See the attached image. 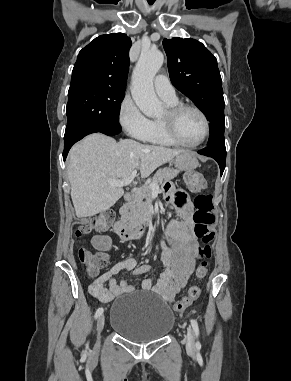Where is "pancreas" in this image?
<instances>
[{
  "instance_id": "1",
  "label": "pancreas",
  "mask_w": 291,
  "mask_h": 381,
  "mask_svg": "<svg viewBox=\"0 0 291 381\" xmlns=\"http://www.w3.org/2000/svg\"><path fill=\"white\" fill-rule=\"evenodd\" d=\"M179 171L171 168L159 169L153 176L151 183L162 184L163 182L170 181L178 175ZM152 191L149 184L140 187L132 202L127 204L126 210L122 213V219L126 225L135 229L147 221L149 216V206L151 201Z\"/></svg>"
}]
</instances>
